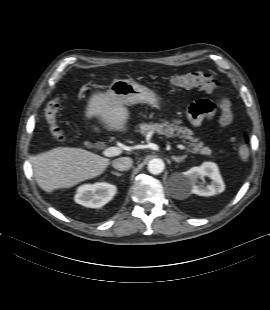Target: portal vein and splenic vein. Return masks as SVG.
<instances>
[{
  "mask_svg": "<svg viewBox=\"0 0 270 310\" xmlns=\"http://www.w3.org/2000/svg\"><path fill=\"white\" fill-rule=\"evenodd\" d=\"M177 147L181 150H186L187 148L182 145V144H178ZM122 150L119 147H109L103 150V155L106 157H113V156H117L119 154H121Z\"/></svg>",
  "mask_w": 270,
  "mask_h": 310,
  "instance_id": "1",
  "label": "portal vein and splenic vein"
}]
</instances>
